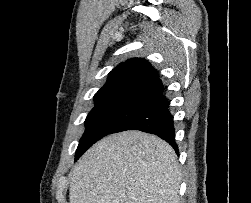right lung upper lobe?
Masks as SVG:
<instances>
[{"label": "right lung upper lobe", "instance_id": "1", "mask_svg": "<svg viewBox=\"0 0 251 203\" xmlns=\"http://www.w3.org/2000/svg\"><path fill=\"white\" fill-rule=\"evenodd\" d=\"M157 71L145 60L129 59L114 68L106 84L95 94V107L128 106L142 111L164 101Z\"/></svg>", "mask_w": 251, "mask_h": 203}]
</instances>
